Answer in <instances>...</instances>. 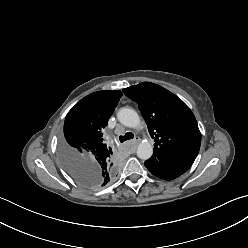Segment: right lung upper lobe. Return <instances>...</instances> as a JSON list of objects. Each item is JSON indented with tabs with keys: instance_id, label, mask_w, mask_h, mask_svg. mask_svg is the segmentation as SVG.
<instances>
[{
	"instance_id": "obj_1",
	"label": "right lung upper lobe",
	"mask_w": 248,
	"mask_h": 248,
	"mask_svg": "<svg viewBox=\"0 0 248 248\" xmlns=\"http://www.w3.org/2000/svg\"><path fill=\"white\" fill-rule=\"evenodd\" d=\"M122 96L119 90L91 93L81 99L67 114L64 123V147L61 158L74 156L86 162L95 172L90 187H102L115 179L118 160L103 142V129Z\"/></svg>"
}]
</instances>
